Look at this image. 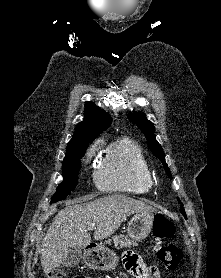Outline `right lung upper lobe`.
I'll return each mask as SVG.
<instances>
[{"mask_svg": "<svg viewBox=\"0 0 221 278\" xmlns=\"http://www.w3.org/2000/svg\"><path fill=\"white\" fill-rule=\"evenodd\" d=\"M84 114V121L77 124L74 136L68 143L67 152L82 145H89L112 123L111 116L92 102H86Z\"/></svg>", "mask_w": 221, "mask_h": 278, "instance_id": "cb5924a9", "label": "right lung upper lobe"}]
</instances>
